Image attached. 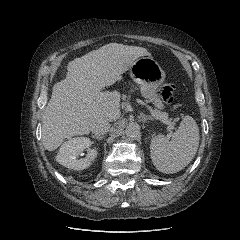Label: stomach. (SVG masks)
<instances>
[{
	"label": "stomach",
	"mask_w": 240,
	"mask_h": 240,
	"mask_svg": "<svg viewBox=\"0 0 240 240\" xmlns=\"http://www.w3.org/2000/svg\"><path fill=\"white\" fill-rule=\"evenodd\" d=\"M130 76L140 86L141 95L158 109H163V101L157 90L163 84L166 74L152 57H140L130 66Z\"/></svg>",
	"instance_id": "stomach-1"
}]
</instances>
